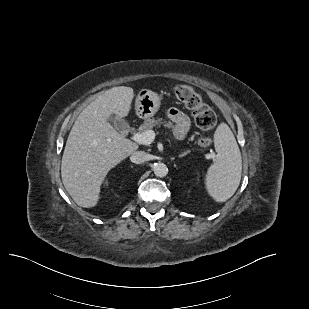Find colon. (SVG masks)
Wrapping results in <instances>:
<instances>
[{"label": "colon", "mask_w": 309, "mask_h": 309, "mask_svg": "<svg viewBox=\"0 0 309 309\" xmlns=\"http://www.w3.org/2000/svg\"><path fill=\"white\" fill-rule=\"evenodd\" d=\"M176 98L192 112L196 125L203 130L212 129L217 123V117L213 109L204 103L202 97L190 86L178 85L174 89ZM202 147L211 144V139L202 137L198 141Z\"/></svg>", "instance_id": "5ec220e1"}]
</instances>
